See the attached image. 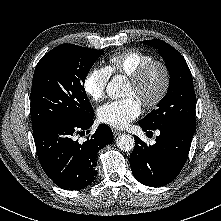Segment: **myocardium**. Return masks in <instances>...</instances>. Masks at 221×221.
I'll list each match as a JSON object with an SVG mask.
<instances>
[{
	"label": "myocardium",
	"instance_id": "obj_1",
	"mask_svg": "<svg viewBox=\"0 0 221 221\" xmlns=\"http://www.w3.org/2000/svg\"><path fill=\"white\" fill-rule=\"evenodd\" d=\"M155 68H159L162 71L163 81L160 90L152 99L142 101V105L147 109H153L157 107L169 91L171 85V72L168 65L163 61L152 60L141 66L130 77V83L133 86L141 87Z\"/></svg>",
	"mask_w": 221,
	"mask_h": 221
}]
</instances>
